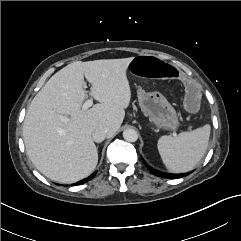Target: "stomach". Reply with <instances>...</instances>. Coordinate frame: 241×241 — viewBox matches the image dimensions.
<instances>
[{"mask_svg": "<svg viewBox=\"0 0 241 241\" xmlns=\"http://www.w3.org/2000/svg\"><path fill=\"white\" fill-rule=\"evenodd\" d=\"M138 101L143 114L151 125L164 129L176 130L179 126L178 115L174 107L160 92L138 90Z\"/></svg>", "mask_w": 241, "mask_h": 241, "instance_id": "obj_1", "label": "stomach"}]
</instances>
